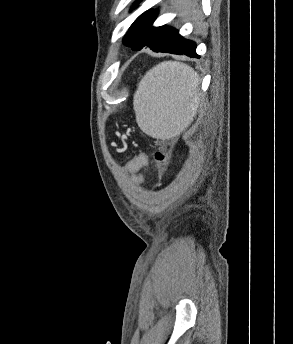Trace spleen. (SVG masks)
<instances>
[{
	"label": "spleen",
	"mask_w": 293,
	"mask_h": 344,
	"mask_svg": "<svg viewBox=\"0 0 293 344\" xmlns=\"http://www.w3.org/2000/svg\"><path fill=\"white\" fill-rule=\"evenodd\" d=\"M198 86V74L186 64L165 61L150 69L134 95L140 129L153 138L179 135L196 114Z\"/></svg>",
	"instance_id": "1"
}]
</instances>
